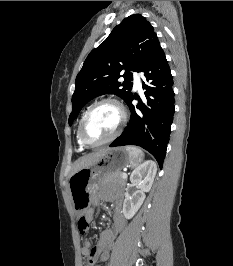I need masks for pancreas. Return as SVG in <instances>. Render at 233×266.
<instances>
[{
    "instance_id": "cf45deb5",
    "label": "pancreas",
    "mask_w": 233,
    "mask_h": 266,
    "mask_svg": "<svg viewBox=\"0 0 233 266\" xmlns=\"http://www.w3.org/2000/svg\"><path fill=\"white\" fill-rule=\"evenodd\" d=\"M102 184H117L124 186L126 184V179L122 177V172L107 173L104 176Z\"/></svg>"
}]
</instances>
